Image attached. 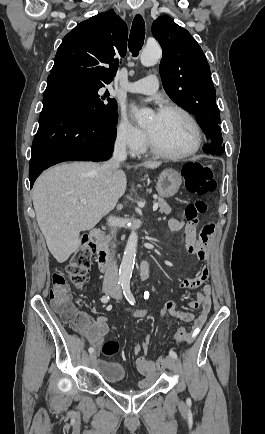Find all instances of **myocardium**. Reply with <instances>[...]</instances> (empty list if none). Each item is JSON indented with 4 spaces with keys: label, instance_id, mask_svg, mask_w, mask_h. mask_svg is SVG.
Returning a JSON list of instances; mask_svg holds the SVG:
<instances>
[{
    "label": "myocardium",
    "instance_id": "f54148a6",
    "mask_svg": "<svg viewBox=\"0 0 265 434\" xmlns=\"http://www.w3.org/2000/svg\"><path fill=\"white\" fill-rule=\"evenodd\" d=\"M170 111H177L184 115L192 125L193 131H194V141L192 146L180 153H168L161 149H159L150 139V136L148 135V146L150 148V151L152 154H154L157 157H160L162 159L171 160V161H177L189 158L190 156L194 155L198 150L200 149L202 145V129L196 118L183 106L178 104H170L167 106H164L160 110V114H164Z\"/></svg>",
    "mask_w": 265,
    "mask_h": 434
}]
</instances>
